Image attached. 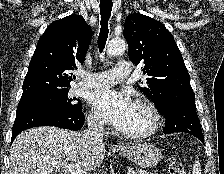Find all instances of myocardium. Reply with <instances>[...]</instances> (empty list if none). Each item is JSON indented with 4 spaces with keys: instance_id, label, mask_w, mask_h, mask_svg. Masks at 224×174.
I'll use <instances>...</instances> for the list:
<instances>
[{
    "instance_id": "1",
    "label": "myocardium",
    "mask_w": 224,
    "mask_h": 174,
    "mask_svg": "<svg viewBox=\"0 0 224 174\" xmlns=\"http://www.w3.org/2000/svg\"><path fill=\"white\" fill-rule=\"evenodd\" d=\"M134 104L141 106L147 110L151 117V125L146 130L140 132L128 133L120 131V134L127 139L134 140L143 139L155 134L159 129L161 123L160 113L157 110L156 106L146 98H139L134 102Z\"/></svg>"
}]
</instances>
